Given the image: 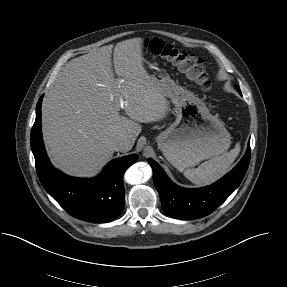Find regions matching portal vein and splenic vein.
I'll list each match as a JSON object with an SVG mask.
<instances>
[{
    "label": "portal vein and splenic vein",
    "mask_w": 287,
    "mask_h": 287,
    "mask_svg": "<svg viewBox=\"0 0 287 287\" xmlns=\"http://www.w3.org/2000/svg\"><path fill=\"white\" fill-rule=\"evenodd\" d=\"M119 104H120V107L123 108V106H124V101H123L122 97H120V102H119Z\"/></svg>",
    "instance_id": "1"
}]
</instances>
